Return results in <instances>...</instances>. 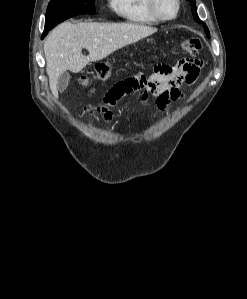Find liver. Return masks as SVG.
Returning <instances> with one entry per match:
<instances>
[{"instance_id":"6515ba94","label":"liver","mask_w":247,"mask_h":299,"mask_svg":"<svg viewBox=\"0 0 247 299\" xmlns=\"http://www.w3.org/2000/svg\"><path fill=\"white\" fill-rule=\"evenodd\" d=\"M157 32L156 28L132 23L64 22L52 30L44 43L50 90L58 97L57 80L67 70L78 73L89 62ZM88 50L84 56L82 49Z\"/></svg>"}]
</instances>
